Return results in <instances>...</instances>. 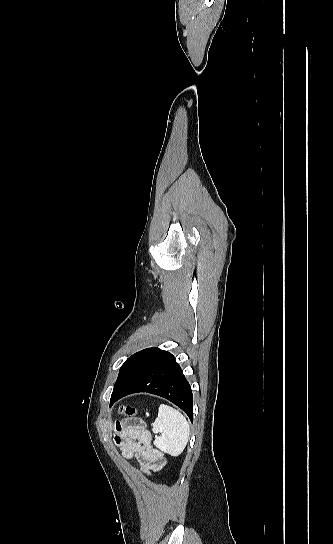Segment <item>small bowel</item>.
<instances>
[{
    "label": "small bowel",
    "instance_id": "small-bowel-1",
    "mask_svg": "<svg viewBox=\"0 0 333 544\" xmlns=\"http://www.w3.org/2000/svg\"><path fill=\"white\" fill-rule=\"evenodd\" d=\"M114 431V441L119 446L122 456L127 460L136 459L145 473L157 471L165 464L163 455L152 445L151 434L144 428L142 422L138 420L117 422Z\"/></svg>",
    "mask_w": 333,
    "mask_h": 544
}]
</instances>
